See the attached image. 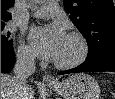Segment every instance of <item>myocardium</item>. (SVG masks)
<instances>
[{
  "label": "myocardium",
  "mask_w": 115,
  "mask_h": 99,
  "mask_svg": "<svg viewBox=\"0 0 115 99\" xmlns=\"http://www.w3.org/2000/svg\"><path fill=\"white\" fill-rule=\"evenodd\" d=\"M67 37L72 40H75L78 43L79 52L73 59L69 61L64 62L55 61L54 65L59 69H71L81 65L86 61L90 52L88 41L81 33L70 32L67 34Z\"/></svg>",
  "instance_id": "1"
}]
</instances>
